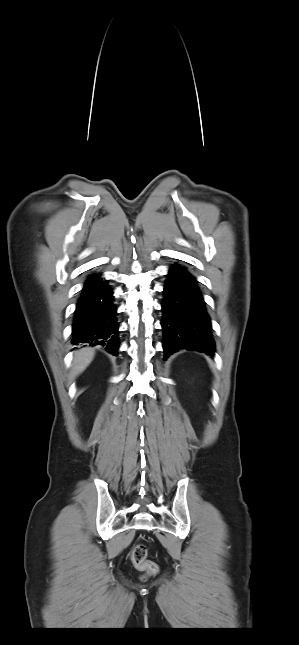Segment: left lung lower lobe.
<instances>
[{
	"label": "left lung lower lobe",
	"instance_id": "left-lung-lower-lobe-1",
	"mask_svg": "<svg viewBox=\"0 0 299 645\" xmlns=\"http://www.w3.org/2000/svg\"><path fill=\"white\" fill-rule=\"evenodd\" d=\"M162 302L164 359L180 349L213 355L211 319L195 278L181 265L167 274Z\"/></svg>",
	"mask_w": 299,
	"mask_h": 645
}]
</instances>
